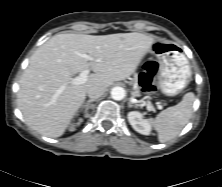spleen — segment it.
Masks as SVG:
<instances>
[{
  "label": "spleen",
  "mask_w": 222,
  "mask_h": 187,
  "mask_svg": "<svg viewBox=\"0 0 222 187\" xmlns=\"http://www.w3.org/2000/svg\"><path fill=\"white\" fill-rule=\"evenodd\" d=\"M195 96L192 92L186 93L181 102L160 112L150 122L158 133L161 143L174 139L188 123L192 115Z\"/></svg>",
  "instance_id": "1"
}]
</instances>
